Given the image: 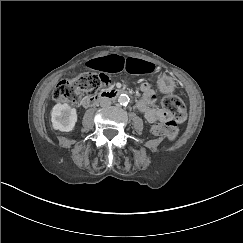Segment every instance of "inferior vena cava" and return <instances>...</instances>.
<instances>
[{
  "label": "inferior vena cava",
  "mask_w": 243,
  "mask_h": 243,
  "mask_svg": "<svg viewBox=\"0 0 243 243\" xmlns=\"http://www.w3.org/2000/svg\"><path fill=\"white\" fill-rule=\"evenodd\" d=\"M111 104H112L111 100H110L109 98H107V97L102 98V99L100 100V106H101V107H108V106H110Z\"/></svg>",
  "instance_id": "obj_1"
}]
</instances>
